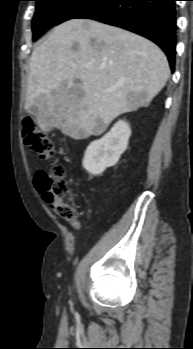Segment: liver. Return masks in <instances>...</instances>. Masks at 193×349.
<instances>
[{"instance_id":"liver-1","label":"liver","mask_w":193,"mask_h":349,"mask_svg":"<svg viewBox=\"0 0 193 349\" xmlns=\"http://www.w3.org/2000/svg\"><path fill=\"white\" fill-rule=\"evenodd\" d=\"M169 74L165 54L148 39L72 19L32 52L25 109L37 106L44 132L56 128L75 140L99 136L119 115L147 107Z\"/></svg>"}]
</instances>
